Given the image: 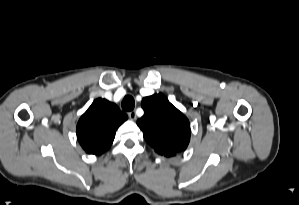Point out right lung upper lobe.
<instances>
[{"mask_svg":"<svg viewBox=\"0 0 299 205\" xmlns=\"http://www.w3.org/2000/svg\"><path fill=\"white\" fill-rule=\"evenodd\" d=\"M127 115L105 99H96L77 124V138L88 154L101 155L113 143L117 128Z\"/></svg>","mask_w":299,"mask_h":205,"instance_id":"1","label":"right lung upper lobe"}]
</instances>
